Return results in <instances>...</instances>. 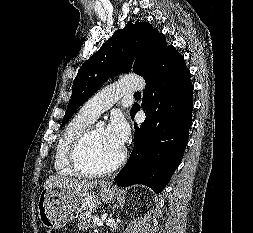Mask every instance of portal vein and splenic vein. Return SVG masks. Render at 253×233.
<instances>
[{"mask_svg": "<svg viewBox=\"0 0 253 233\" xmlns=\"http://www.w3.org/2000/svg\"><path fill=\"white\" fill-rule=\"evenodd\" d=\"M93 223L98 226H103V221L99 220L97 217H93Z\"/></svg>", "mask_w": 253, "mask_h": 233, "instance_id": "18ae733b", "label": "portal vein and splenic vein"}]
</instances>
